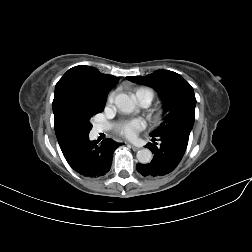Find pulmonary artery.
Listing matches in <instances>:
<instances>
[{
	"label": "pulmonary artery",
	"mask_w": 252,
	"mask_h": 252,
	"mask_svg": "<svg viewBox=\"0 0 252 252\" xmlns=\"http://www.w3.org/2000/svg\"><path fill=\"white\" fill-rule=\"evenodd\" d=\"M140 105L147 106V104L145 102H141ZM102 131H103V127L102 126H95V128H94V134H98V133H100Z\"/></svg>",
	"instance_id": "1"
}]
</instances>
